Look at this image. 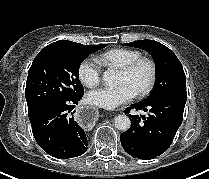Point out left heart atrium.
<instances>
[{"mask_svg":"<svg viewBox=\"0 0 209 179\" xmlns=\"http://www.w3.org/2000/svg\"><path fill=\"white\" fill-rule=\"evenodd\" d=\"M136 96V92L128 84H120L114 88H100L87 94L89 103L106 108L114 109L121 104L129 102Z\"/></svg>","mask_w":209,"mask_h":179,"instance_id":"39dd6f15","label":"left heart atrium"}]
</instances>
